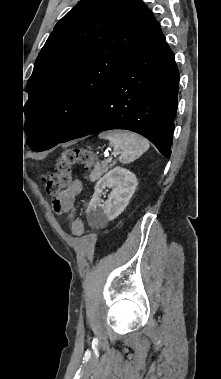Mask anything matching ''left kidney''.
Segmentation results:
<instances>
[{
    "mask_svg": "<svg viewBox=\"0 0 221 379\" xmlns=\"http://www.w3.org/2000/svg\"><path fill=\"white\" fill-rule=\"evenodd\" d=\"M138 185L134 173L121 167H115L103 176L95 185V192L87 207V220L92 227L104 226L118 217L127 207ZM112 188L108 200L101 202L103 190Z\"/></svg>",
    "mask_w": 221,
    "mask_h": 379,
    "instance_id": "1",
    "label": "left kidney"
}]
</instances>
